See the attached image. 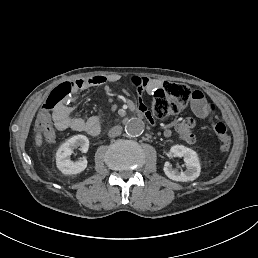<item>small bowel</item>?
I'll return each instance as SVG.
<instances>
[{
	"mask_svg": "<svg viewBox=\"0 0 258 258\" xmlns=\"http://www.w3.org/2000/svg\"><path fill=\"white\" fill-rule=\"evenodd\" d=\"M120 78L121 77L118 74L95 75L78 79L74 81V83L77 91L91 87H108L110 84L118 82ZM131 83L138 90L140 112L147 120L153 123V114L143 103L142 93L150 89L154 83L148 78L140 76L132 77ZM209 104L210 103L206 101L202 92L196 90L192 93L191 111L195 116L199 118L206 117L209 114ZM38 124L42 138L47 143H53L55 141V130L86 132L91 136L98 135L101 130L100 121L97 116H90L87 118L74 116L68 102L57 108L53 112L52 117L45 116L41 113L38 118ZM195 125L196 122L193 117H186L176 123L173 129H166L164 131V136L166 138H171L172 136L177 135L186 143L192 144L196 141V136L193 131Z\"/></svg>",
	"mask_w": 258,
	"mask_h": 258,
	"instance_id": "obj_1",
	"label": "small bowel"
}]
</instances>
